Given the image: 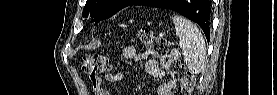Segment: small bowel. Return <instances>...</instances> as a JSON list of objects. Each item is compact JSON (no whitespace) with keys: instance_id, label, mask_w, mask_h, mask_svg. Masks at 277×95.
<instances>
[{"instance_id":"1","label":"small bowel","mask_w":277,"mask_h":95,"mask_svg":"<svg viewBox=\"0 0 277 95\" xmlns=\"http://www.w3.org/2000/svg\"><path fill=\"white\" fill-rule=\"evenodd\" d=\"M123 57L127 60L138 59L145 60L147 72L158 78H163L164 83L160 84L158 87V95H171L172 90L175 87V80L173 77L167 75L160 67L159 62L156 59L149 58L144 53H137L135 47L127 46L123 50ZM125 72L123 69L118 70L115 73H109L106 75L105 79L108 82L114 83L123 80ZM104 82L102 78L96 77L92 79V87L95 95H108L110 94L104 88Z\"/></svg>"}]
</instances>
